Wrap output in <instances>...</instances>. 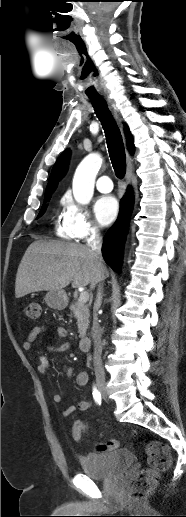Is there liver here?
<instances>
[{
    "label": "liver",
    "instance_id": "1",
    "mask_svg": "<svg viewBox=\"0 0 186 517\" xmlns=\"http://www.w3.org/2000/svg\"><path fill=\"white\" fill-rule=\"evenodd\" d=\"M109 275L105 265L98 266L90 248L75 243L35 241L26 250L16 274L15 297L38 292L90 285Z\"/></svg>",
    "mask_w": 186,
    "mask_h": 517
}]
</instances>
